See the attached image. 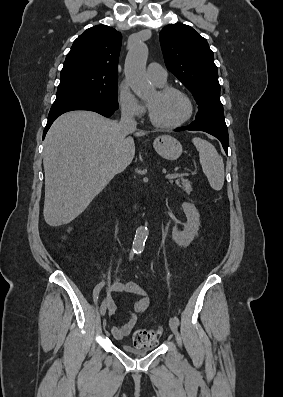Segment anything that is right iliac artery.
<instances>
[{"label":"right iliac artery","instance_id":"82829eb1","mask_svg":"<svg viewBox=\"0 0 283 397\" xmlns=\"http://www.w3.org/2000/svg\"><path fill=\"white\" fill-rule=\"evenodd\" d=\"M134 253H137V252L133 251V252L130 253V260L133 258ZM102 287H103V284H99V285L96 286V288L94 290V295H93V299H92V302L94 304H97L99 302L98 294L101 292V288Z\"/></svg>","mask_w":283,"mask_h":397}]
</instances>
